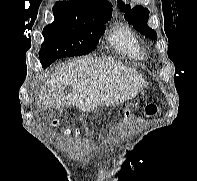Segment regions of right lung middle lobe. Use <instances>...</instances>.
Wrapping results in <instances>:
<instances>
[{
  "mask_svg": "<svg viewBox=\"0 0 197 181\" xmlns=\"http://www.w3.org/2000/svg\"><path fill=\"white\" fill-rule=\"evenodd\" d=\"M110 15L85 16L76 19L55 17L53 23L43 29L44 43L39 57L46 68L65 56H82L95 50L105 32L104 24Z\"/></svg>",
  "mask_w": 197,
  "mask_h": 181,
  "instance_id": "right-lung-middle-lobe-1",
  "label": "right lung middle lobe"
}]
</instances>
